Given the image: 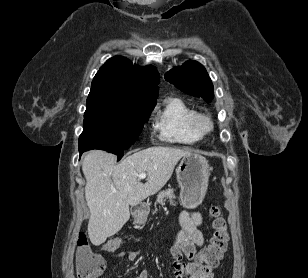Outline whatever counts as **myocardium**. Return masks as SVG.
<instances>
[{
  "instance_id": "1",
  "label": "myocardium",
  "mask_w": 308,
  "mask_h": 278,
  "mask_svg": "<svg viewBox=\"0 0 308 278\" xmlns=\"http://www.w3.org/2000/svg\"><path fill=\"white\" fill-rule=\"evenodd\" d=\"M192 127L202 137L213 130L214 124L208 115L197 113L192 119Z\"/></svg>"
}]
</instances>
